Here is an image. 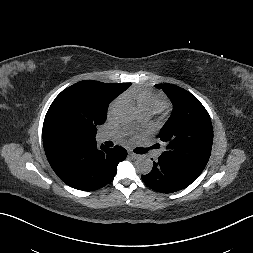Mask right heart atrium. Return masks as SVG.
<instances>
[{"mask_svg":"<svg viewBox=\"0 0 253 253\" xmlns=\"http://www.w3.org/2000/svg\"><path fill=\"white\" fill-rule=\"evenodd\" d=\"M122 100H123L122 98H117L110 104L109 109H108L109 117H112L117 112L120 104L122 103Z\"/></svg>","mask_w":253,"mask_h":253,"instance_id":"right-heart-atrium-1","label":"right heart atrium"}]
</instances>
